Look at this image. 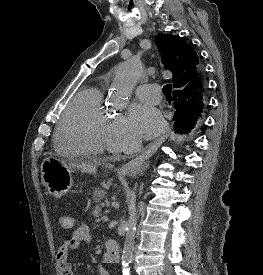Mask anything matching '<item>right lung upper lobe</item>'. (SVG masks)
I'll return each instance as SVG.
<instances>
[{
    "mask_svg": "<svg viewBox=\"0 0 263 275\" xmlns=\"http://www.w3.org/2000/svg\"><path fill=\"white\" fill-rule=\"evenodd\" d=\"M156 43L164 67L173 73V87L185 94L184 108L202 114L207 107L204 79L197 76L200 61L192 45L178 35L158 34Z\"/></svg>",
    "mask_w": 263,
    "mask_h": 275,
    "instance_id": "cb5924a9",
    "label": "right lung upper lobe"
}]
</instances>
